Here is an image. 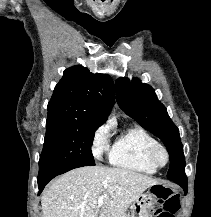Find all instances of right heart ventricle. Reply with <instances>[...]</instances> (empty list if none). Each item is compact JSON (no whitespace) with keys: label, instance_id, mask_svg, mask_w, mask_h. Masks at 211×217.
I'll return each mask as SVG.
<instances>
[{"label":"right heart ventricle","instance_id":"1","mask_svg":"<svg viewBox=\"0 0 211 217\" xmlns=\"http://www.w3.org/2000/svg\"><path fill=\"white\" fill-rule=\"evenodd\" d=\"M156 139L140 126H130L114 141L110 151L112 165L145 174H154L157 169L148 160L149 149Z\"/></svg>","mask_w":211,"mask_h":217}]
</instances>
